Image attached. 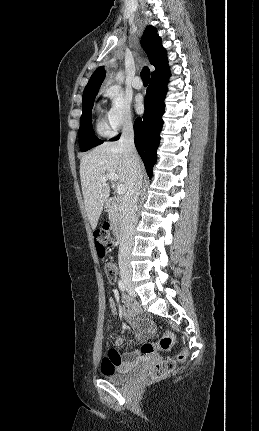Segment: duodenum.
Returning <instances> with one entry per match:
<instances>
[{"instance_id": "1", "label": "duodenum", "mask_w": 259, "mask_h": 431, "mask_svg": "<svg viewBox=\"0 0 259 431\" xmlns=\"http://www.w3.org/2000/svg\"><path fill=\"white\" fill-rule=\"evenodd\" d=\"M116 203H117V201H116V200H114V199H110V200L106 203V206H105L106 211H110V210H112V209L116 206ZM122 236H123V230H122V229H119V230H118V232H117V234H116V243H117L118 245H120V244H121Z\"/></svg>"}]
</instances>
